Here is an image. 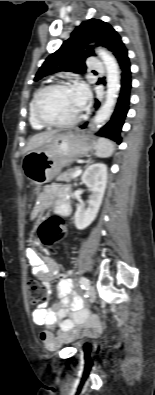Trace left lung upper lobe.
<instances>
[{"label":"left lung upper lobe","instance_id":"5c2ea615","mask_svg":"<svg viewBox=\"0 0 155 395\" xmlns=\"http://www.w3.org/2000/svg\"><path fill=\"white\" fill-rule=\"evenodd\" d=\"M102 45L113 52L118 62L127 55V49L120 35L106 22L90 19L75 28L69 39L51 54L38 70L35 80L58 72H84L85 60L94 55V47L89 44Z\"/></svg>","mask_w":155,"mask_h":395}]
</instances>
